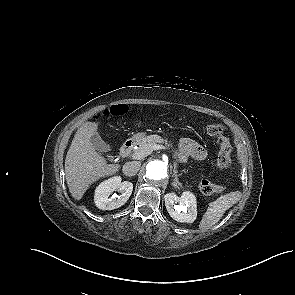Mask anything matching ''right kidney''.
Masks as SVG:
<instances>
[{
  "mask_svg": "<svg viewBox=\"0 0 295 295\" xmlns=\"http://www.w3.org/2000/svg\"><path fill=\"white\" fill-rule=\"evenodd\" d=\"M115 190L121 195L110 194ZM133 191V184L128 181L121 182V177L115 176L103 181L95 190L94 202L101 210H113L124 205Z\"/></svg>",
  "mask_w": 295,
  "mask_h": 295,
  "instance_id": "right-kidney-1",
  "label": "right kidney"
}]
</instances>
